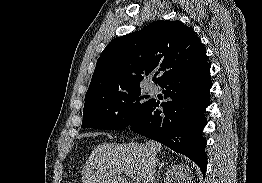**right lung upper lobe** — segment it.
Segmentation results:
<instances>
[{"mask_svg": "<svg viewBox=\"0 0 262 183\" xmlns=\"http://www.w3.org/2000/svg\"><path fill=\"white\" fill-rule=\"evenodd\" d=\"M206 62V50L191 27L180 21L159 20L106 46L97 60L85 102L139 88L152 71H156L153 81L159 84Z\"/></svg>", "mask_w": 262, "mask_h": 183, "instance_id": "cb5924a9", "label": "right lung upper lobe"}]
</instances>
